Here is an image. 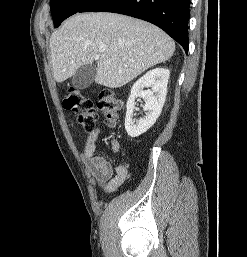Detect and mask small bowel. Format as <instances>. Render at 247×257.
Segmentation results:
<instances>
[{
  "label": "small bowel",
  "instance_id": "1",
  "mask_svg": "<svg viewBox=\"0 0 247 257\" xmlns=\"http://www.w3.org/2000/svg\"><path fill=\"white\" fill-rule=\"evenodd\" d=\"M100 132V128H97L89 133L83 150V159L99 183L101 190L105 193H112L125 181L127 168L119 164L113 169L112 165L97 153L96 141ZM110 148L114 154H118L121 149L119 141L113 139Z\"/></svg>",
  "mask_w": 247,
  "mask_h": 257
}]
</instances>
